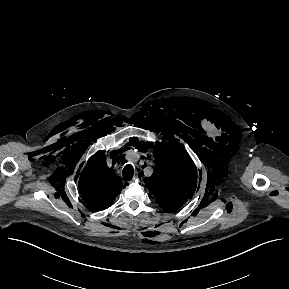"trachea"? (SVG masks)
Masks as SVG:
<instances>
[{
    "label": "trachea",
    "mask_w": 289,
    "mask_h": 289,
    "mask_svg": "<svg viewBox=\"0 0 289 289\" xmlns=\"http://www.w3.org/2000/svg\"><path fill=\"white\" fill-rule=\"evenodd\" d=\"M122 175L124 180H131L133 178L134 175V169L132 167V165H126L122 171Z\"/></svg>",
    "instance_id": "trachea-1"
}]
</instances>
